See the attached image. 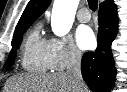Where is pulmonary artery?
<instances>
[{
  "mask_svg": "<svg viewBox=\"0 0 127 92\" xmlns=\"http://www.w3.org/2000/svg\"><path fill=\"white\" fill-rule=\"evenodd\" d=\"M91 18V15H90V12L88 9L86 8H81L78 10L77 12V19L80 21V22H88Z\"/></svg>",
  "mask_w": 127,
  "mask_h": 92,
  "instance_id": "obj_1",
  "label": "pulmonary artery"
}]
</instances>
